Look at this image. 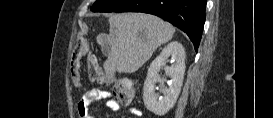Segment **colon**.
Returning <instances> with one entry per match:
<instances>
[{
	"mask_svg": "<svg viewBox=\"0 0 273 118\" xmlns=\"http://www.w3.org/2000/svg\"><path fill=\"white\" fill-rule=\"evenodd\" d=\"M90 44L87 40H80L75 45L69 63V74L72 82L78 86L80 84L79 61L83 56H88L87 73L91 81L101 84L111 85L114 94L122 105H129L135 96L132 82L127 78H109L105 76L95 59L89 53Z\"/></svg>",
	"mask_w": 273,
	"mask_h": 118,
	"instance_id": "colon-1",
	"label": "colon"
}]
</instances>
